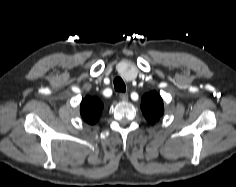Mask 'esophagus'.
Here are the masks:
<instances>
[{
	"instance_id": "esophagus-1",
	"label": "esophagus",
	"mask_w": 236,
	"mask_h": 187,
	"mask_svg": "<svg viewBox=\"0 0 236 187\" xmlns=\"http://www.w3.org/2000/svg\"><path fill=\"white\" fill-rule=\"evenodd\" d=\"M119 97L122 101H127L128 100V94L127 93H120Z\"/></svg>"
}]
</instances>
